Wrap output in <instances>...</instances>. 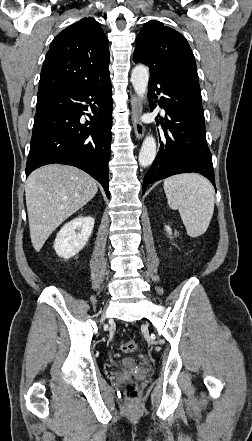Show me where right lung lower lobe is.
Returning a JSON list of instances; mask_svg holds the SVG:
<instances>
[{
  "label": "right lung lower lobe",
  "mask_w": 252,
  "mask_h": 441,
  "mask_svg": "<svg viewBox=\"0 0 252 441\" xmlns=\"http://www.w3.org/2000/svg\"><path fill=\"white\" fill-rule=\"evenodd\" d=\"M88 104L94 116L87 114L90 121L83 124L81 116L88 111ZM111 126L110 82L59 90L38 98L26 177L43 165H72L95 178L109 198Z\"/></svg>",
  "instance_id": "right-lung-lower-lobe-1"
}]
</instances>
